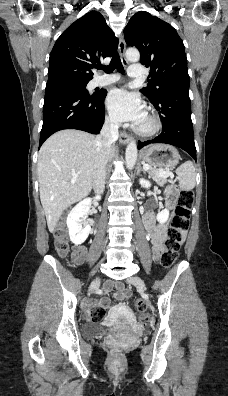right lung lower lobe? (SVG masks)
I'll return each mask as SVG.
<instances>
[{"label":"right lung lower lobe","mask_w":228,"mask_h":396,"mask_svg":"<svg viewBox=\"0 0 228 396\" xmlns=\"http://www.w3.org/2000/svg\"><path fill=\"white\" fill-rule=\"evenodd\" d=\"M106 95V90L86 96L69 87L46 88L39 147L49 136L63 129L98 134L104 123Z\"/></svg>","instance_id":"1"}]
</instances>
